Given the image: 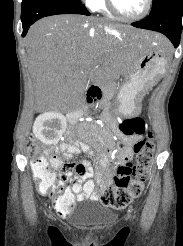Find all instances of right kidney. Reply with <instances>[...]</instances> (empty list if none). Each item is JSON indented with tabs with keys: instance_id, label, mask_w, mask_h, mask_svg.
<instances>
[{
	"instance_id": "obj_1",
	"label": "right kidney",
	"mask_w": 183,
	"mask_h": 246,
	"mask_svg": "<svg viewBox=\"0 0 183 246\" xmlns=\"http://www.w3.org/2000/svg\"><path fill=\"white\" fill-rule=\"evenodd\" d=\"M66 125V118L62 114L48 112L36 118L33 133L41 142L54 144L64 133Z\"/></svg>"
}]
</instances>
